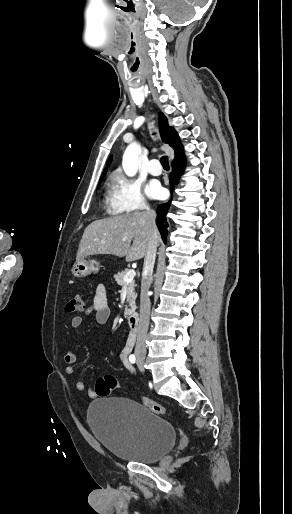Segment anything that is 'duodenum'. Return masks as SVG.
<instances>
[{"mask_svg": "<svg viewBox=\"0 0 292 514\" xmlns=\"http://www.w3.org/2000/svg\"><path fill=\"white\" fill-rule=\"evenodd\" d=\"M128 323H129V329L131 330V332L133 334L137 333L138 328H139V315L137 313H132L129 316Z\"/></svg>", "mask_w": 292, "mask_h": 514, "instance_id": "obj_1", "label": "duodenum"}]
</instances>
